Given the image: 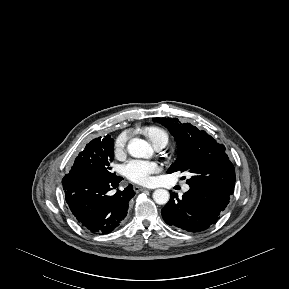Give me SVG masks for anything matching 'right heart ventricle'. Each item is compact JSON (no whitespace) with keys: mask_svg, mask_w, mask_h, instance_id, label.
I'll return each mask as SVG.
<instances>
[{"mask_svg":"<svg viewBox=\"0 0 289 289\" xmlns=\"http://www.w3.org/2000/svg\"><path fill=\"white\" fill-rule=\"evenodd\" d=\"M144 134L146 137L150 140V142L153 144L159 139H165L168 142V134L163 129L151 126L144 130Z\"/></svg>","mask_w":289,"mask_h":289,"instance_id":"1","label":"right heart ventricle"}]
</instances>
